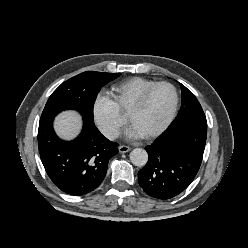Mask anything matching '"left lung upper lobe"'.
I'll list each match as a JSON object with an SVG mask.
<instances>
[{
	"instance_id": "1",
	"label": "left lung upper lobe",
	"mask_w": 248,
	"mask_h": 248,
	"mask_svg": "<svg viewBox=\"0 0 248 248\" xmlns=\"http://www.w3.org/2000/svg\"><path fill=\"white\" fill-rule=\"evenodd\" d=\"M182 90V105L177 117L169 127L181 122H207L203 109L194 94L184 85L180 84Z\"/></svg>"
}]
</instances>
